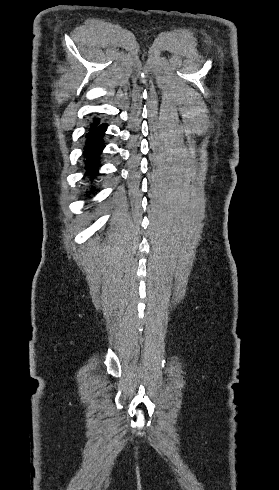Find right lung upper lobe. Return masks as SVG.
Instances as JSON below:
<instances>
[{
  "instance_id": "cb5924a9",
  "label": "right lung upper lobe",
  "mask_w": 279,
  "mask_h": 490,
  "mask_svg": "<svg viewBox=\"0 0 279 490\" xmlns=\"http://www.w3.org/2000/svg\"><path fill=\"white\" fill-rule=\"evenodd\" d=\"M104 123L100 124V121H94L92 124H90L89 131L96 129L97 127L103 125Z\"/></svg>"
}]
</instances>
